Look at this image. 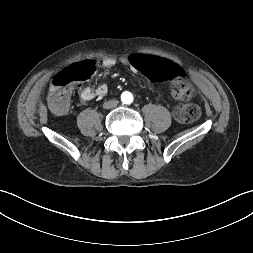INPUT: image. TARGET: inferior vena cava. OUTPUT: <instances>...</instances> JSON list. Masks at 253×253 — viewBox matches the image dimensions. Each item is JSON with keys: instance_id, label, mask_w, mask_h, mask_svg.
I'll return each instance as SVG.
<instances>
[{"instance_id": "obj_1", "label": "inferior vena cava", "mask_w": 253, "mask_h": 253, "mask_svg": "<svg viewBox=\"0 0 253 253\" xmlns=\"http://www.w3.org/2000/svg\"><path fill=\"white\" fill-rule=\"evenodd\" d=\"M118 105V101L113 99V100H110V101H107L103 104V107L105 109H110V108H114Z\"/></svg>"}]
</instances>
